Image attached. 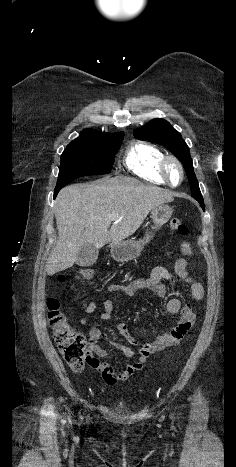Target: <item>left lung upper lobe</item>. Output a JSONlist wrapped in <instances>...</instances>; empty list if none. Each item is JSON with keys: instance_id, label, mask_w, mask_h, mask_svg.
<instances>
[{"instance_id": "5c2ea615", "label": "left lung upper lobe", "mask_w": 236, "mask_h": 467, "mask_svg": "<svg viewBox=\"0 0 236 467\" xmlns=\"http://www.w3.org/2000/svg\"><path fill=\"white\" fill-rule=\"evenodd\" d=\"M136 139L148 140L164 145L184 165L189 179L191 194L194 198L203 199L196 179L190 151L181 135L164 119H153L145 126L134 131Z\"/></svg>"}]
</instances>
